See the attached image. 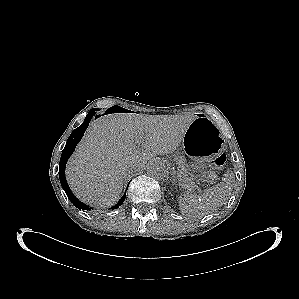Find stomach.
<instances>
[{"instance_id": "0dacf381", "label": "stomach", "mask_w": 299, "mask_h": 299, "mask_svg": "<svg viewBox=\"0 0 299 299\" xmlns=\"http://www.w3.org/2000/svg\"><path fill=\"white\" fill-rule=\"evenodd\" d=\"M184 152L195 163L196 170L212 161L224 149V140L216 124L206 116L199 115L190 123L183 138ZM189 170V169H188Z\"/></svg>"}]
</instances>
